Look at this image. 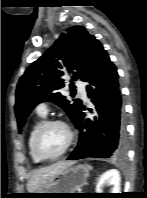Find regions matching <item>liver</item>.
I'll list each match as a JSON object with an SVG mask.
<instances>
[{"mask_svg":"<svg viewBox=\"0 0 147 198\" xmlns=\"http://www.w3.org/2000/svg\"><path fill=\"white\" fill-rule=\"evenodd\" d=\"M72 161H60L51 166L43 167L37 169L33 172L32 176L28 180L27 190L29 193L37 191L41 186H43L47 181L55 177L62 170L73 165Z\"/></svg>","mask_w":147,"mask_h":198,"instance_id":"liver-1","label":"liver"}]
</instances>
